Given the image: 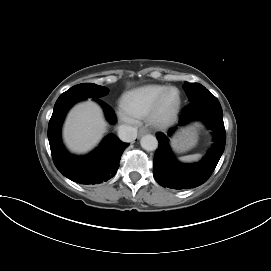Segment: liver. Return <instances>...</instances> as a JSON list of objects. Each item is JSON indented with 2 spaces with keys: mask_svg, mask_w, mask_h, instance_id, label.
<instances>
[{
  "mask_svg": "<svg viewBox=\"0 0 271 271\" xmlns=\"http://www.w3.org/2000/svg\"><path fill=\"white\" fill-rule=\"evenodd\" d=\"M106 127L101 108L89 100L70 111L63 129L64 140L73 152L86 153L99 143Z\"/></svg>",
  "mask_w": 271,
  "mask_h": 271,
  "instance_id": "liver-1",
  "label": "liver"
}]
</instances>
